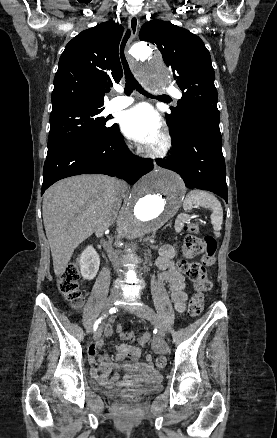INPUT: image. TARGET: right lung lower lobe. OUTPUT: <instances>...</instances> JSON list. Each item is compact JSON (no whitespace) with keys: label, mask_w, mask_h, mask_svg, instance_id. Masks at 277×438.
<instances>
[{"label":"right lung lower lobe","mask_w":277,"mask_h":438,"mask_svg":"<svg viewBox=\"0 0 277 438\" xmlns=\"http://www.w3.org/2000/svg\"><path fill=\"white\" fill-rule=\"evenodd\" d=\"M152 167L150 159L129 152L118 127L99 141L74 143L47 153L41 194L56 181L79 174H106L134 184Z\"/></svg>","instance_id":"1"}]
</instances>
